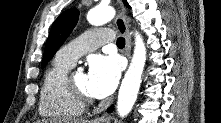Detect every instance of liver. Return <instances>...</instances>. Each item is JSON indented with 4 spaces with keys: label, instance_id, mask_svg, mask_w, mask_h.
I'll return each instance as SVG.
<instances>
[{
    "label": "liver",
    "instance_id": "liver-1",
    "mask_svg": "<svg viewBox=\"0 0 221 123\" xmlns=\"http://www.w3.org/2000/svg\"><path fill=\"white\" fill-rule=\"evenodd\" d=\"M71 121V123H87L86 121H84V120H70ZM36 123H47V121H45V120H42V121H40V120H38Z\"/></svg>",
    "mask_w": 221,
    "mask_h": 123
}]
</instances>
